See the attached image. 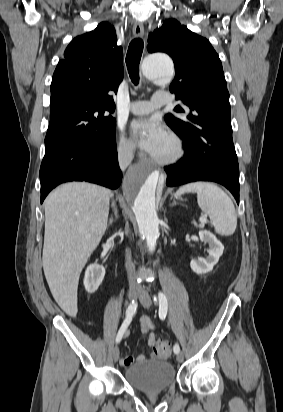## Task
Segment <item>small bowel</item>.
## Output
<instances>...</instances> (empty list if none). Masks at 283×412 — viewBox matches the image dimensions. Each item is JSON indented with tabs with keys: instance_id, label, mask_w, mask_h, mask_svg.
I'll list each match as a JSON object with an SVG mask.
<instances>
[{
	"instance_id": "c3829d8e",
	"label": "small bowel",
	"mask_w": 283,
	"mask_h": 412,
	"mask_svg": "<svg viewBox=\"0 0 283 412\" xmlns=\"http://www.w3.org/2000/svg\"><path fill=\"white\" fill-rule=\"evenodd\" d=\"M140 325L141 329L144 333H147L148 336V344L149 346H153L155 343V336L153 334L154 325L148 316H142L140 318ZM125 336L128 335V332L125 331ZM146 359L145 355L139 354L137 356H126L120 359V364L122 366H130L133 363H141Z\"/></svg>"
}]
</instances>
